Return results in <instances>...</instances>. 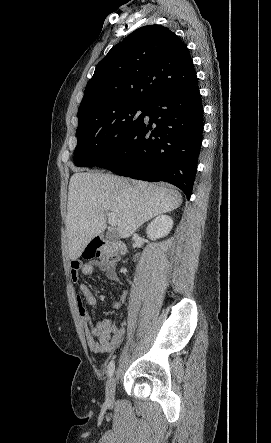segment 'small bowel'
<instances>
[{
  "label": "small bowel",
  "instance_id": "c3829d8e",
  "mask_svg": "<svg viewBox=\"0 0 271 443\" xmlns=\"http://www.w3.org/2000/svg\"><path fill=\"white\" fill-rule=\"evenodd\" d=\"M94 266L95 264L93 262L82 264L78 260H73L70 266L71 279L76 282L79 278L80 272L84 275H90L94 270ZM99 267L110 281L123 286V283L112 264L100 263ZM79 290L80 293L76 300L77 309L84 325L86 341L89 349L92 352L99 354H106L115 350L123 340L125 334V322L122 319L119 321H112L111 319L106 318L100 322L93 323L84 303L95 307L97 305V299L86 284L81 283ZM126 299L127 291L124 290L119 299L112 303V308L121 309L126 302Z\"/></svg>",
  "mask_w": 271,
  "mask_h": 443
}]
</instances>
